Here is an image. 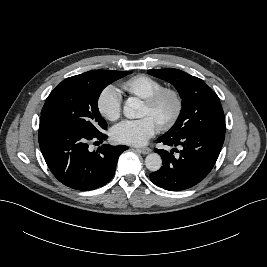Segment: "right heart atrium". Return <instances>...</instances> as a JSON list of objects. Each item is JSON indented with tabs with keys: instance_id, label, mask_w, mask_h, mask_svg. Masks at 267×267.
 Listing matches in <instances>:
<instances>
[{
	"instance_id": "right-heart-atrium-1",
	"label": "right heart atrium",
	"mask_w": 267,
	"mask_h": 267,
	"mask_svg": "<svg viewBox=\"0 0 267 267\" xmlns=\"http://www.w3.org/2000/svg\"><path fill=\"white\" fill-rule=\"evenodd\" d=\"M97 108L107 120H117L122 111V97L119 90L114 86L105 87L98 96Z\"/></svg>"
}]
</instances>
